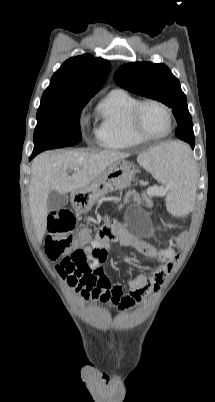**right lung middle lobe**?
I'll return each mask as SVG.
<instances>
[{
	"label": "right lung middle lobe",
	"mask_w": 215,
	"mask_h": 402,
	"mask_svg": "<svg viewBox=\"0 0 215 402\" xmlns=\"http://www.w3.org/2000/svg\"><path fill=\"white\" fill-rule=\"evenodd\" d=\"M90 98L42 97L37 112L32 157L53 148L81 141L80 114Z\"/></svg>",
	"instance_id": "right-lung-middle-lobe-1"
}]
</instances>
